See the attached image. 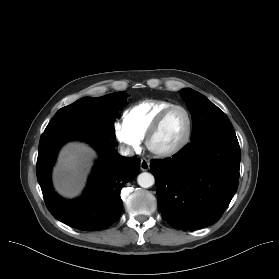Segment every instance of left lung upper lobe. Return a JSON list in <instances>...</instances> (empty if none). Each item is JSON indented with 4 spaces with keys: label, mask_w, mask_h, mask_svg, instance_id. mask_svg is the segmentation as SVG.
Listing matches in <instances>:
<instances>
[{
    "label": "left lung upper lobe",
    "mask_w": 279,
    "mask_h": 279,
    "mask_svg": "<svg viewBox=\"0 0 279 279\" xmlns=\"http://www.w3.org/2000/svg\"><path fill=\"white\" fill-rule=\"evenodd\" d=\"M180 95L191 111L192 139L216 131H234L226 114L205 96L192 89H182Z\"/></svg>",
    "instance_id": "obj_1"
}]
</instances>
